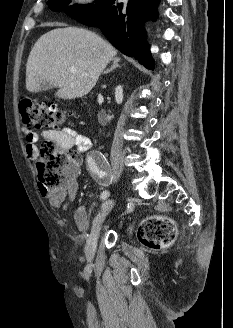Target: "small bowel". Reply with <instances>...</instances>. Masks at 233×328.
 <instances>
[{
	"instance_id": "obj_1",
	"label": "small bowel",
	"mask_w": 233,
	"mask_h": 328,
	"mask_svg": "<svg viewBox=\"0 0 233 328\" xmlns=\"http://www.w3.org/2000/svg\"><path fill=\"white\" fill-rule=\"evenodd\" d=\"M26 138V152L30 157H34L37 152V143L41 137L55 141L62 150L76 148L78 152H85L92 146L91 139L82 132L73 128L45 130L41 134L33 132L28 126L23 128ZM41 195L46 198L49 204L56 208H61L64 213H68L77 194L78 184L75 178L68 181L57 190L47 191L39 187ZM87 215L83 207H79L75 212L76 224L83 228L86 224Z\"/></svg>"
}]
</instances>
